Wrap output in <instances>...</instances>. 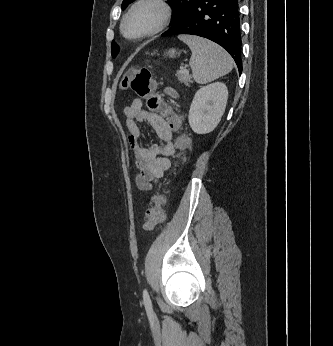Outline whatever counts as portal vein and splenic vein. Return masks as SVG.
Instances as JSON below:
<instances>
[{
    "label": "portal vein and splenic vein",
    "instance_id": "1",
    "mask_svg": "<svg viewBox=\"0 0 333 346\" xmlns=\"http://www.w3.org/2000/svg\"><path fill=\"white\" fill-rule=\"evenodd\" d=\"M181 70H182V72H183V73H187V74H189V71H188L187 69H183V68H181Z\"/></svg>",
    "mask_w": 333,
    "mask_h": 346
}]
</instances>
